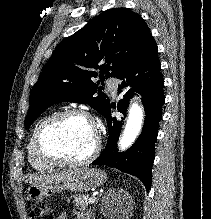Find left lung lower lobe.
I'll use <instances>...</instances> for the list:
<instances>
[{"label":"left lung lower lobe","mask_w":211,"mask_h":219,"mask_svg":"<svg viewBox=\"0 0 211 219\" xmlns=\"http://www.w3.org/2000/svg\"><path fill=\"white\" fill-rule=\"evenodd\" d=\"M157 50V45L150 35L138 54L116 77L122 81L118 92L123 94V99L119 101L117 106L119 112L126 113L129 100L135 95V92L142 96L146 116L141 135L126 152H117L116 142L124 118H112L110 111L113 106L110 105L103 115L107 118L108 141L100 156L92 163L114 167L138 177L147 191L150 190L151 186L154 144L162 118V105L165 101L164 80Z\"/></svg>","instance_id":"left-lung-lower-lobe-1"}]
</instances>
